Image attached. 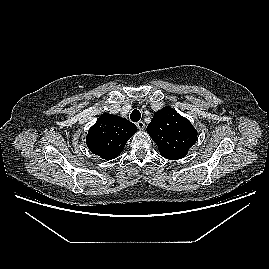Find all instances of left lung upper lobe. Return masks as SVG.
I'll return each mask as SVG.
<instances>
[{
  "mask_svg": "<svg viewBox=\"0 0 269 269\" xmlns=\"http://www.w3.org/2000/svg\"><path fill=\"white\" fill-rule=\"evenodd\" d=\"M147 132L166 159L183 158L197 140V131L187 118L166 106L154 114Z\"/></svg>",
  "mask_w": 269,
  "mask_h": 269,
  "instance_id": "obj_1",
  "label": "left lung upper lobe"
}]
</instances>
